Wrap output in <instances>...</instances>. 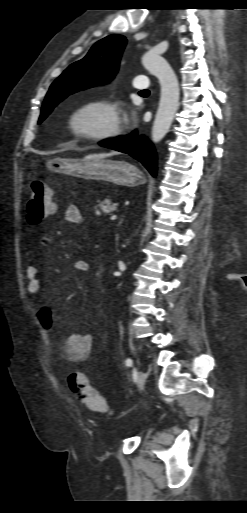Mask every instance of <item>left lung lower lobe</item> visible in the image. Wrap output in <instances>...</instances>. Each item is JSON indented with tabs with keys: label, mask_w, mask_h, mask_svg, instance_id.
<instances>
[{
	"label": "left lung lower lobe",
	"mask_w": 247,
	"mask_h": 513,
	"mask_svg": "<svg viewBox=\"0 0 247 513\" xmlns=\"http://www.w3.org/2000/svg\"><path fill=\"white\" fill-rule=\"evenodd\" d=\"M99 145L129 154L140 161L153 176L156 175L157 156L155 149L145 137H137V131L127 136L101 141Z\"/></svg>",
	"instance_id": "obj_1"
}]
</instances>
